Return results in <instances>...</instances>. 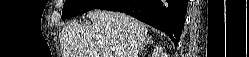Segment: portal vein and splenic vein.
Masks as SVG:
<instances>
[{
	"instance_id": "1",
	"label": "portal vein and splenic vein",
	"mask_w": 249,
	"mask_h": 57,
	"mask_svg": "<svg viewBox=\"0 0 249 57\" xmlns=\"http://www.w3.org/2000/svg\"><path fill=\"white\" fill-rule=\"evenodd\" d=\"M104 57H109V55L106 54V55H104Z\"/></svg>"
}]
</instances>
